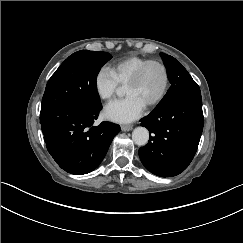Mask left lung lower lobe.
Masks as SVG:
<instances>
[{"label": "left lung lower lobe", "instance_id": "obj_1", "mask_svg": "<svg viewBox=\"0 0 243 243\" xmlns=\"http://www.w3.org/2000/svg\"><path fill=\"white\" fill-rule=\"evenodd\" d=\"M151 134L139 149L145 168L160 177L183 172L192 161L203 130L201 93H179L142 118Z\"/></svg>", "mask_w": 243, "mask_h": 243}]
</instances>
